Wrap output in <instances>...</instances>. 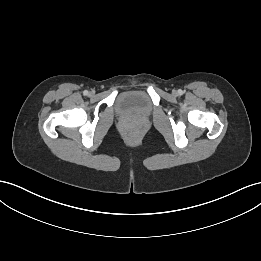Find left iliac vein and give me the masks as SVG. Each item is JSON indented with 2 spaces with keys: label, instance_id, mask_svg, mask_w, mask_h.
Instances as JSON below:
<instances>
[{
  "label": "left iliac vein",
  "instance_id": "obj_1",
  "mask_svg": "<svg viewBox=\"0 0 261 261\" xmlns=\"http://www.w3.org/2000/svg\"><path fill=\"white\" fill-rule=\"evenodd\" d=\"M173 94H174V95H176V94H177V92H176V91H173Z\"/></svg>",
  "mask_w": 261,
  "mask_h": 261
}]
</instances>
